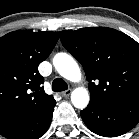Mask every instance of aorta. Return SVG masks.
I'll list each match as a JSON object with an SVG mask.
<instances>
[{"mask_svg":"<svg viewBox=\"0 0 139 139\" xmlns=\"http://www.w3.org/2000/svg\"><path fill=\"white\" fill-rule=\"evenodd\" d=\"M53 65L57 72L65 79L74 83L81 80V71L78 64L67 53L56 54L53 58ZM89 100L90 97L86 88L78 87L71 93V102L78 109L86 108Z\"/></svg>","mask_w":139,"mask_h":139,"instance_id":"obj_1","label":"aorta"}]
</instances>
